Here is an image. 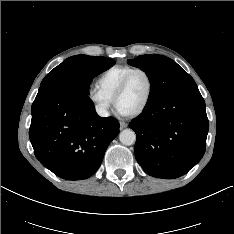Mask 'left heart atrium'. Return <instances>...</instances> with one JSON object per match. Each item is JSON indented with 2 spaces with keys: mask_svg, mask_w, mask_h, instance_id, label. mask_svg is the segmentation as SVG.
<instances>
[{
  "mask_svg": "<svg viewBox=\"0 0 234 234\" xmlns=\"http://www.w3.org/2000/svg\"><path fill=\"white\" fill-rule=\"evenodd\" d=\"M117 111L120 113V114H122V115H124L125 114V112H123L122 110H120L119 108H117Z\"/></svg>",
  "mask_w": 234,
  "mask_h": 234,
  "instance_id": "1",
  "label": "left heart atrium"
}]
</instances>
